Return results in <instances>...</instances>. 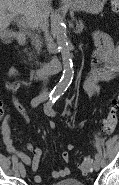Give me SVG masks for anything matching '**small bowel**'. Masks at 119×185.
<instances>
[{
  "label": "small bowel",
  "mask_w": 119,
  "mask_h": 185,
  "mask_svg": "<svg viewBox=\"0 0 119 185\" xmlns=\"http://www.w3.org/2000/svg\"><path fill=\"white\" fill-rule=\"evenodd\" d=\"M93 40L95 49L92 53L91 70L87 78L83 82V88L90 97L97 96L100 93L101 85L110 82L119 68V49L114 45L112 37L104 32H94ZM28 84L27 81L19 79L17 69L11 67L7 71V80L5 88L10 93H15L20 86ZM14 105L23 116V122H28L29 118L24 112L21 104L14 99ZM9 114H5L1 124V134L3 141L9 152L16 154L25 164L31 167L34 173V180L37 183L42 181V176L39 175L38 168L42 151L33 144H27L26 149L32 154V158L26 153L16 150L11 139V130L9 127ZM54 123L50 124L54 128ZM74 149L73 144H67L62 152V159L65 163L70 161V152ZM71 170L68 166L52 173V178L60 179L68 176Z\"/></svg>",
  "instance_id": "small-bowel-1"
}]
</instances>
